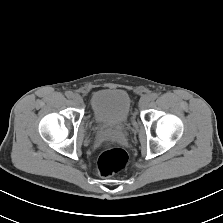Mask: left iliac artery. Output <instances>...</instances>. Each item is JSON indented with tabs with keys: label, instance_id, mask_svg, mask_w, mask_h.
Masks as SVG:
<instances>
[{
	"label": "left iliac artery",
	"instance_id": "1",
	"mask_svg": "<svg viewBox=\"0 0 223 223\" xmlns=\"http://www.w3.org/2000/svg\"><path fill=\"white\" fill-rule=\"evenodd\" d=\"M150 100H155L157 97H158V94L157 93H152V94H150Z\"/></svg>",
	"mask_w": 223,
	"mask_h": 223
}]
</instances>
